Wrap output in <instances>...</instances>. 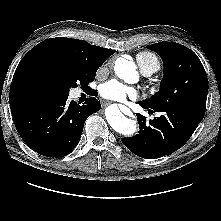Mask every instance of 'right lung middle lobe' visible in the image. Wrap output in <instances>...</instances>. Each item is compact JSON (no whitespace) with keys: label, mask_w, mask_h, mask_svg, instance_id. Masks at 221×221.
Returning <instances> with one entry per match:
<instances>
[{"label":"right lung middle lobe","mask_w":221,"mask_h":221,"mask_svg":"<svg viewBox=\"0 0 221 221\" xmlns=\"http://www.w3.org/2000/svg\"><path fill=\"white\" fill-rule=\"evenodd\" d=\"M96 71L73 60L59 58L32 66L29 80L43 95L67 97L69 89L77 87L78 83L87 87Z\"/></svg>","instance_id":"right-lung-middle-lobe-1"}]
</instances>
